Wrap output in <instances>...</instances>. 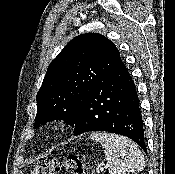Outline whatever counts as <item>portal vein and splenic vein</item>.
<instances>
[{
	"mask_svg": "<svg viewBox=\"0 0 175 174\" xmlns=\"http://www.w3.org/2000/svg\"><path fill=\"white\" fill-rule=\"evenodd\" d=\"M107 168H108V166L101 167V168H100V171H104V170L107 169Z\"/></svg>",
	"mask_w": 175,
	"mask_h": 174,
	"instance_id": "1",
	"label": "portal vein and splenic vein"
}]
</instances>
